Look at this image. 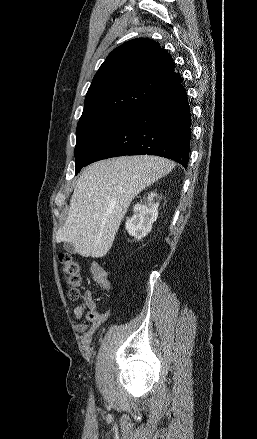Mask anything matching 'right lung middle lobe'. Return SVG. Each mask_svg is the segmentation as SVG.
<instances>
[{"label": "right lung middle lobe", "mask_w": 257, "mask_h": 439, "mask_svg": "<svg viewBox=\"0 0 257 439\" xmlns=\"http://www.w3.org/2000/svg\"><path fill=\"white\" fill-rule=\"evenodd\" d=\"M128 116L99 113L81 116L77 125L75 168L78 173L102 141Z\"/></svg>", "instance_id": "1"}]
</instances>
